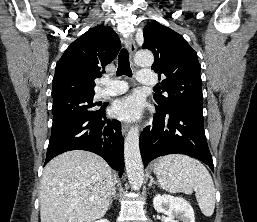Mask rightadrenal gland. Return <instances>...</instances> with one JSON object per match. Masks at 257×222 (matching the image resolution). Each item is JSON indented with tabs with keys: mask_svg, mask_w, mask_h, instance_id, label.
Segmentation results:
<instances>
[{
	"mask_svg": "<svg viewBox=\"0 0 257 222\" xmlns=\"http://www.w3.org/2000/svg\"><path fill=\"white\" fill-rule=\"evenodd\" d=\"M113 198H114V199L116 198V187L114 188V190H113V192H112V195H111V197H110L109 207H110L111 204H112Z\"/></svg>",
	"mask_w": 257,
	"mask_h": 222,
	"instance_id": "obj_1",
	"label": "right adrenal gland"
}]
</instances>
